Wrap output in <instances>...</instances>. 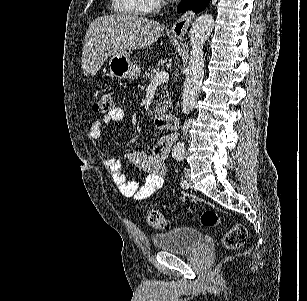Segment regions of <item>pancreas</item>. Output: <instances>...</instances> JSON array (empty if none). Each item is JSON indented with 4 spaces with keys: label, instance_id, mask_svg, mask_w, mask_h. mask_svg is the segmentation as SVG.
<instances>
[{
    "label": "pancreas",
    "instance_id": "1",
    "mask_svg": "<svg viewBox=\"0 0 307 301\" xmlns=\"http://www.w3.org/2000/svg\"><path fill=\"white\" fill-rule=\"evenodd\" d=\"M161 68H148V70H145L144 74L141 76V82H151L153 80L154 76H156L157 72H160ZM163 88H167V84L163 86ZM168 94L167 92H164L162 94L161 98H158L156 102L155 108H153V112H167L169 106H171L170 100L167 98Z\"/></svg>",
    "mask_w": 307,
    "mask_h": 301
}]
</instances>
